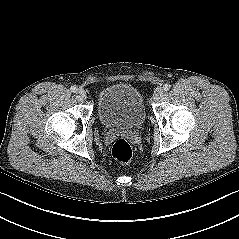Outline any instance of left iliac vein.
I'll return each mask as SVG.
<instances>
[{
  "label": "left iliac vein",
  "mask_w": 239,
  "mask_h": 239,
  "mask_svg": "<svg viewBox=\"0 0 239 239\" xmlns=\"http://www.w3.org/2000/svg\"><path fill=\"white\" fill-rule=\"evenodd\" d=\"M162 95H163V89L162 88H157L154 91L153 100L157 101L158 99H160L162 97Z\"/></svg>",
  "instance_id": "4c4485c4"
}]
</instances>
